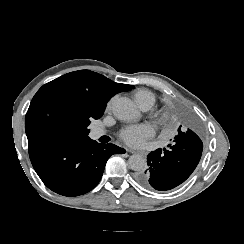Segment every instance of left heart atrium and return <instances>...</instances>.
I'll return each mask as SVG.
<instances>
[{"label":"left heart atrium","instance_id":"1","mask_svg":"<svg viewBox=\"0 0 244 244\" xmlns=\"http://www.w3.org/2000/svg\"><path fill=\"white\" fill-rule=\"evenodd\" d=\"M154 135L153 130L148 126H133L120 133V139L127 145L139 147Z\"/></svg>","mask_w":244,"mask_h":244}]
</instances>
